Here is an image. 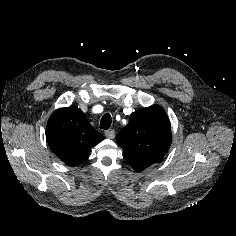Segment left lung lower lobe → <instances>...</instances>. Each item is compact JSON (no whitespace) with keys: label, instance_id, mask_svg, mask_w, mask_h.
I'll return each instance as SVG.
<instances>
[{"label":"left lung lower lobe","instance_id":"1","mask_svg":"<svg viewBox=\"0 0 236 236\" xmlns=\"http://www.w3.org/2000/svg\"><path fill=\"white\" fill-rule=\"evenodd\" d=\"M137 172H140L142 170H144L145 168L147 167H141V166H136V167H133Z\"/></svg>","mask_w":236,"mask_h":236}]
</instances>
